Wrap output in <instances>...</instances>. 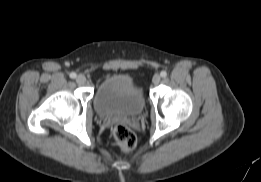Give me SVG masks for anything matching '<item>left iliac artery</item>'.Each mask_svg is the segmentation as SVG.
Returning <instances> with one entry per match:
<instances>
[{"instance_id":"left-iliac-artery-1","label":"left iliac artery","mask_w":261,"mask_h":182,"mask_svg":"<svg viewBox=\"0 0 261 182\" xmlns=\"http://www.w3.org/2000/svg\"><path fill=\"white\" fill-rule=\"evenodd\" d=\"M160 75H161V77H166L167 76V72L166 71H161V73H160Z\"/></svg>"}]
</instances>
